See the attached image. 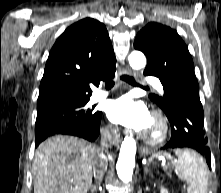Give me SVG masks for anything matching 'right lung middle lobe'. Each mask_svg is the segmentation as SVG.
<instances>
[{"mask_svg": "<svg viewBox=\"0 0 221 193\" xmlns=\"http://www.w3.org/2000/svg\"><path fill=\"white\" fill-rule=\"evenodd\" d=\"M89 99H59L37 104L35 137L53 134L68 127H93L100 114L87 108Z\"/></svg>", "mask_w": 221, "mask_h": 193, "instance_id": "dd1d6c3e", "label": "right lung middle lobe"}]
</instances>
